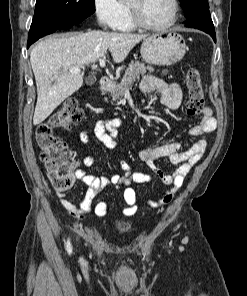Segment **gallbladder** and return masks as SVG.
<instances>
[{"mask_svg":"<svg viewBox=\"0 0 247 296\" xmlns=\"http://www.w3.org/2000/svg\"><path fill=\"white\" fill-rule=\"evenodd\" d=\"M96 78L93 76H90L86 79V84L87 85H92L95 82Z\"/></svg>","mask_w":247,"mask_h":296,"instance_id":"gallbladder-1","label":"gallbladder"}]
</instances>
